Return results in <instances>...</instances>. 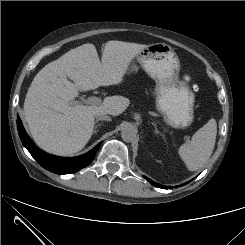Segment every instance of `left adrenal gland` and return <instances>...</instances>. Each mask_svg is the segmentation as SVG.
I'll return each instance as SVG.
<instances>
[{
    "label": "left adrenal gland",
    "mask_w": 245,
    "mask_h": 245,
    "mask_svg": "<svg viewBox=\"0 0 245 245\" xmlns=\"http://www.w3.org/2000/svg\"><path fill=\"white\" fill-rule=\"evenodd\" d=\"M152 125H153L154 128H155L154 133H155V134H160L161 136H163V134L160 133V131L157 129L156 123H155V122H152Z\"/></svg>",
    "instance_id": "obj_1"
}]
</instances>
